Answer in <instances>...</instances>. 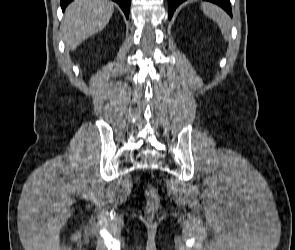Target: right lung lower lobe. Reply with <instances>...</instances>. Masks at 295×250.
I'll use <instances>...</instances> for the list:
<instances>
[{
  "label": "right lung lower lobe",
  "mask_w": 295,
  "mask_h": 250,
  "mask_svg": "<svg viewBox=\"0 0 295 250\" xmlns=\"http://www.w3.org/2000/svg\"><path fill=\"white\" fill-rule=\"evenodd\" d=\"M73 0H61V8L62 11L65 10L67 5L72 2ZM114 2L118 3L123 12L125 13L126 17H129V11H130V0H113Z\"/></svg>",
  "instance_id": "98d812e1"
}]
</instances>
